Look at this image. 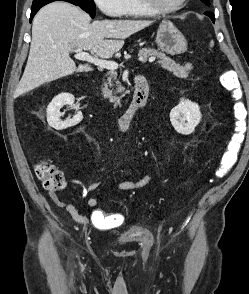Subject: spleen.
Masks as SVG:
<instances>
[{"instance_id":"obj_1","label":"spleen","mask_w":249,"mask_h":294,"mask_svg":"<svg viewBox=\"0 0 249 294\" xmlns=\"http://www.w3.org/2000/svg\"><path fill=\"white\" fill-rule=\"evenodd\" d=\"M213 45H214V42H213V41H211V42H210V46H211V47H213Z\"/></svg>"}]
</instances>
